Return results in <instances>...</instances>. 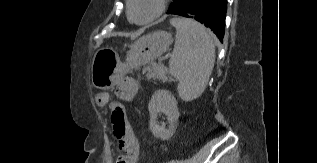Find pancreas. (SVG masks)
I'll use <instances>...</instances> for the list:
<instances>
[{
  "label": "pancreas",
  "mask_w": 317,
  "mask_h": 163,
  "mask_svg": "<svg viewBox=\"0 0 317 163\" xmlns=\"http://www.w3.org/2000/svg\"><path fill=\"white\" fill-rule=\"evenodd\" d=\"M144 71H147L148 78L158 79L161 81L167 80V69L161 64L151 63L150 65L144 68Z\"/></svg>",
  "instance_id": "1"
}]
</instances>
